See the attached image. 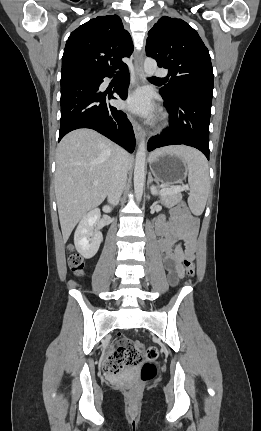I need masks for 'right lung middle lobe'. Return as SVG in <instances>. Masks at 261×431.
I'll list each match as a JSON object with an SVG mask.
<instances>
[{
  "label": "right lung middle lobe",
  "mask_w": 261,
  "mask_h": 431,
  "mask_svg": "<svg viewBox=\"0 0 261 431\" xmlns=\"http://www.w3.org/2000/svg\"><path fill=\"white\" fill-rule=\"evenodd\" d=\"M87 73L88 72H85V71L75 70V71H70L66 73H61V77L65 75H70V74H87Z\"/></svg>",
  "instance_id": "dd1d6c3e"
}]
</instances>
